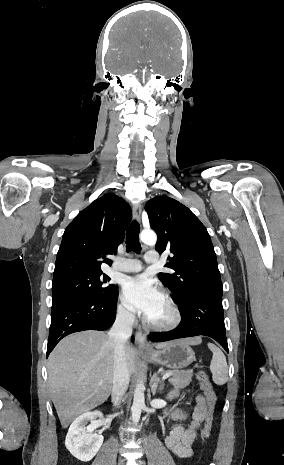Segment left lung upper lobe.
<instances>
[{"instance_id":"obj_1","label":"left lung upper lobe","mask_w":284,"mask_h":465,"mask_svg":"<svg viewBox=\"0 0 284 465\" xmlns=\"http://www.w3.org/2000/svg\"><path fill=\"white\" fill-rule=\"evenodd\" d=\"M150 226L158 234L155 249L170 251L165 267L175 273L158 277L172 292L175 302L195 293L223 294L220 272L211 238L205 226L189 208L166 195L145 205Z\"/></svg>"}]
</instances>
